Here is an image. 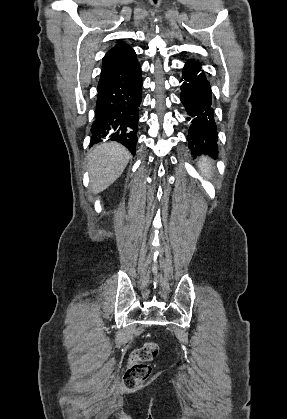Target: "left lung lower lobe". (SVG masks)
Listing matches in <instances>:
<instances>
[{
    "instance_id": "left-lung-lower-lobe-1",
    "label": "left lung lower lobe",
    "mask_w": 287,
    "mask_h": 419,
    "mask_svg": "<svg viewBox=\"0 0 287 419\" xmlns=\"http://www.w3.org/2000/svg\"><path fill=\"white\" fill-rule=\"evenodd\" d=\"M181 82V102L190 116L187 120L191 122L190 150L194 156L208 154L214 157L218 154V137L210 84L200 65L193 61L186 63Z\"/></svg>"
}]
</instances>
